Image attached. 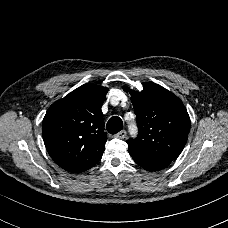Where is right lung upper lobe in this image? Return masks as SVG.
Segmentation results:
<instances>
[{
  "mask_svg": "<svg viewBox=\"0 0 228 228\" xmlns=\"http://www.w3.org/2000/svg\"><path fill=\"white\" fill-rule=\"evenodd\" d=\"M108 88L84 84L47 110L42 135L51 158L64 170L85 172L102 157L106 143L101 106Z\"/></svg>",
  "mask_w": 228,
  "mask_h": 228,
  "instance_id": "right-lung-upper-lobe-1",
  "label": "right lung upper lobe"
}]
</instances>
